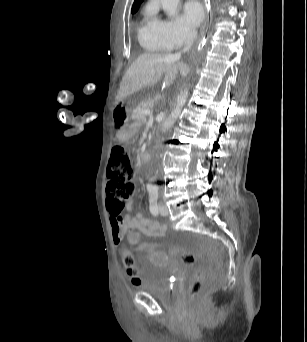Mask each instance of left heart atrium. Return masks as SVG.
Segmentation results:
<instances>
[{
	"label": "left heart atrium",
	"mask_w": 307,
	"mask_h": 342,
	"mask_svg": "<svg viewBox=\"0 0 307 342\" xmlns=\"http://www.w3.org/2000/svg\"><path fill=\"white\" fill-rule=\"evenodd\" d=\"M204 18V11L202 6L197 2H189L183 9L181 22L186 31L184 40L186 42L192 39V33L200 25Z\"/></svg>",
	"instance_id": "39dd6f15"
}]
</instances>
